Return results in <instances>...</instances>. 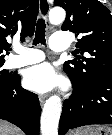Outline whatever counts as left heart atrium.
I'll return each mask as SVG.
<instances>
[{"instance_id":"left-heart-atrium-1","label":"left heart atrium","mask_w":112,"mask_h":135,"mask_svg":"<svg viewBox=\"0 0 112 135\" xmlns=\"http://www.w3.org/2000/svg\"><path fill=\"white\" fill-rule=\"evenodd\" d=\"M26 88L38 93H46L64 84L55 68L49 63H43L28 68L23 75Z\"/></svg>"}]
</instances>
